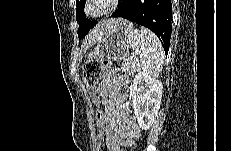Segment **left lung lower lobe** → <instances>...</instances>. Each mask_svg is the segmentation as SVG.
<instances>
[{"label": "left lung lower lobe", "instance_id": "obj_1", "mask_svg": "<svg viewBox=\"0 0 231 151\" xmlns=\"http://www.w3.org/2000/svg\"><path fill=\"white\" fill-rule=\"evenodd\" d=\"M112 17H122L153 31L168 53L172 33V3L170 0H132L119 6Z\"/></svg>", "mask_w": 231, "mask_h": 151}]
</instances>
